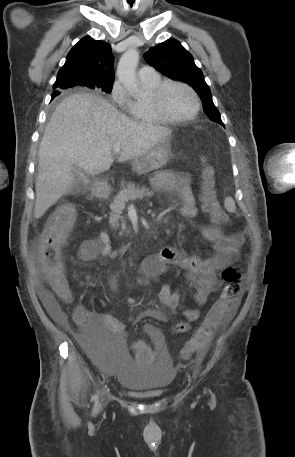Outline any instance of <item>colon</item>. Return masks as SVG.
I'll return each mask as SVG.
<instances>
[{
	"label": "colon",
	"instance_id": "colon-1",
	"mask_svg": "<svg viewBox=\"0 0 295 457\" xmlns=\"http://www.w3.org/2000/svg\"><path fill=\"white\" fill-rule=\"evenodd\" d=\"M202 208L216 224L228 222V216L221 209L216 198L213 170L205 165L202 170ZM75 219L70 205L59 207L48 221L38 242V257L47 282L54 293L63 301H70L72 291L63 272L62 247L66 235ZM225 286L220 297L208 311L203 323L198 327L183 349V357L189 358L205 350L216 328L225 322L235 309L240 296L242 272L239 268L228 267L222 272ZM137 366H152L154 351H150L147 341H136L134 348Z\"/></svg>",
	"mask_w": 295,
	"mask_h": 457
}]
</instances>
